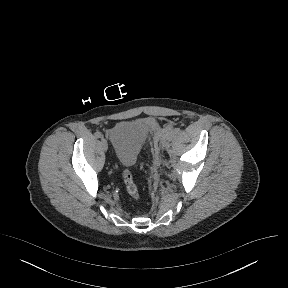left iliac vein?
Segmentation results:
<instances>
[{
	"instance_id": "obj_1",
	"label": "left iliac vein",
	"mask_w": 288,
	"mask_h": 288,
	"mask_svg": "<svg viewBox=\"0 0 288 288\" xmlns=\"http://www.w3.org/2000/svg\"><path fill=\"white\" fill-rule=\"evenodd\" d=\"M167 141H168L167 138L163 139V141H162V146H163V147H166V146H167Z\"/></svg>"
}]
</instances>
